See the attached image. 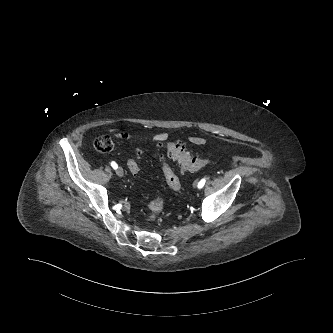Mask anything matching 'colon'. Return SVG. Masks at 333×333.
Segmentation results:
<instances>
[{
    "instance_id": "obj_1",
    "label": "colon",
    "mask_w": 333,
    "mask_h": 333,
    "mask_svg": "<svg viewBox=\"0 0 333 333\" xmlns=\"http://www.w3.org/2000/svg\"><path fill=\"white\" fill-rule=\"evenodd\" d=\"M114 143L110 136H100L95 139L94 147L96 150L106 153L113 149ZM168 155L177 161L182 171L193 172L202 168L206 164V160L202 157L191 154L185 144L180 141L169 142L166 146ZM154 157L160 161H163L164 157L158 150L154 151ZM142 151L137 149L132 155L126 160V166L130 172L137 174L142 169L141 164ZM163 173L167 184L173 191L180 190V181L173 169L166 163H163ZM149 213L147 221L149 223L154 222L157 217L161 214L164 208V199L162 197H156L149 203Z\"/></svg>"
}]
</instances>
